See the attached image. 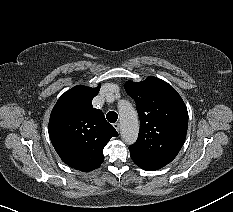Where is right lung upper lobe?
<instances>
[{
    "label": "right lung upper lobe",
    "instance_id": "obj_1",
    "mask_svg": "<svg viewBox=\"0 0 233 212\" xmlns=\"http://www.w3.org/2000/svg\"><path fill=\"white\" fill-rule=\"evenodd\" d=\"M99 89L100 85L71 88L58 99L49 120V136L60 158L84 172L101 165L105 145L111 137L118 136L103 112L92 106Z\"/></svg>",
    "mask_w": 233,
    "mask_h": 212
}]
</instances>
